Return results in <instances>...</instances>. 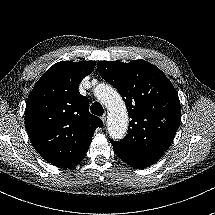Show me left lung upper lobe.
I'll use <instances>...</instances> for the list:
<instances>
[{"label":"left lung upper lobe","instance_id":"1","mask_svg":"<svg viewBox=\"0 0 215 215\" xmlns=\"http://www.w3.org/2000/svg\"><path fill=\"white\" fill-rule=\"evenodd\" d=\"M103 79L122 96L129 121L128 134L111 140L120 150L135 154L164 153L170 146L181 119V106L174 86L156 66L133 60L99 61Z\"/></svg>","mask_w":215,"mask_h":215}]
</instances>
